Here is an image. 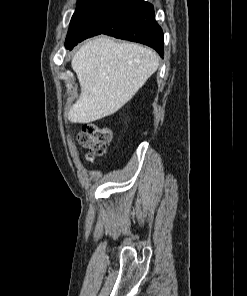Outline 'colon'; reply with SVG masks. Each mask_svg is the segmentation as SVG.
<instances>
[{
  "label": "colon",
  "instance_id": "colon-1",
  "mask_svg": "<svg viewBox=\"0 0 247 296\" xmlns=\"http://www.w3.org/2000/svg\"><path fill=\"white\" fill-rule=\"evenodd\" d=\"M110 140V131L107 128L99 127L93 123L83 125L78 135V141L80 145L87 150V159L90 161L105 153Z\"/></svg>",
  "mask_w": 247,
  "mask_h": 296
}]
</instances>
